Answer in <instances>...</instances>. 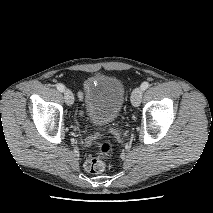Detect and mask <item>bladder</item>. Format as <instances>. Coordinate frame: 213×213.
Masks as SVG:
<instances>
[{"label": "bladder", "instance_id": "31cf9c89", "mask_svg": "<svg viewBox=\"0 0 213 213\" xmlns=\"http://www.w3.org/2000/svg\"><path fill=\"white\" fill-rule=\"evenodd\" d=\"M84 107L90 120L97 125L114 123L122 110L125 88L114 76L97 74L83 84Z\"/></svg>", "mask_w": 213, "mask_h": 213}]
</instances>
